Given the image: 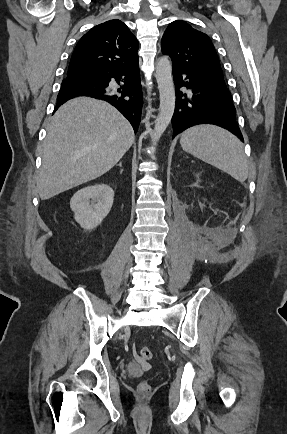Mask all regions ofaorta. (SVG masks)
<instances>
[{
	"mask_svg": "<svg viewBox=\"0 0 287 434\" xmlns=\"http://www.w3.org/2000/svg\"><path fill=\"white\" fill-rule=\"evenodd\" d=\"M155 76L160 93V107L152 134L153 146L157 145L159 138L171 122L175 109V87L172 78L171 62L168 57L163 56L157 60Z\"/></svg>",
	"mask_w": 287,
	"mask_h": 434,
	"instance_id": "aorta-1",
	"label": "aorta"
}]
</instances>
